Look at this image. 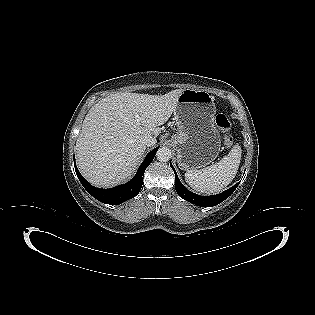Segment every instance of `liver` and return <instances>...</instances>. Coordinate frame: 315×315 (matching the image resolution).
I'll use <instances>...</instances> for the list:
<instances>
[{"mask_svg":"<svg viewBox=\"0 0 315 315\" xmlns=\"http://www.w3.org/2000/svg\"><path fill=\"white\" fill-rule=\"evenodd\" d=\"M183 91L176 89L164 95L116 93L92 106L76 141L81 174L102 188L128 179L145 152L142 138L151 136L156 143L159 126L176 110Z\"/></svg>","mask_w":315,"mask_h":315,"instance_id":"6515ba94","label":"liver"}]
</instances>
